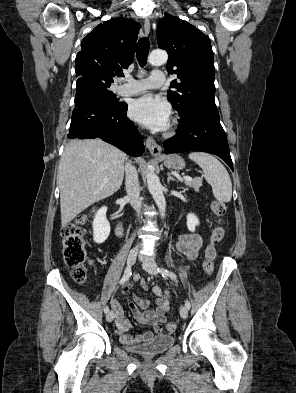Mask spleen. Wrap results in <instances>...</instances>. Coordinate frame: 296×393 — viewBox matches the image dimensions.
Masks as SVG:
<instances>
[{
    "label": "spleen",
    "instance_id": "obj_1",
    "mask_svg": "<svg viewBox=\"0 0 296 393\" xmlns=\"http://www.w3.org/2000/svg\"><path fill=\"white\" fill-rule=\"evenodd\" d=\"M189 158L202 168L205 179L212 187L214 197L220 202H229L232 198V182L220 161L204 152L190 153Z\"/></svg>",
    "mask_w": 296,
    "mask_h": 393
}]
</instances>
